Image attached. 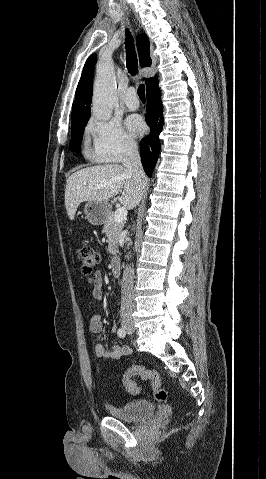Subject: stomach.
<instances>
[{"label": "stomach", "mask_w": 266, "mask_h": 479, "mask_svg": "<svg viewBox=\"0 0 266 479\" xmlns=\"http://www.w3.org/2000/svg\"><path fill=\"white\" fill-rule=\"evenodd\" d=\"M111 206L108 202L89 201L86 203L84 213L87 220L93 225L103 224L110 214Z\"/></svg>", "instance_id": "obj_1"}]
</instances>
